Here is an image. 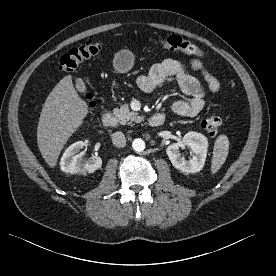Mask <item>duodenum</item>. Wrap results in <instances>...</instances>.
<instances>
[{"label": "duodenum", "instance_id": "obj_1", "mask_svg": "<svg viewBox=\"0 0 276 276\" xmlns=\"http://www.w3.org/2000/svg\"><path fill=\"white\" fill-rule=\"evenodd\" d=\"M164 115L163 114H155L151 116L148 120V124L150 127L156 128L160 127L164 123ZM102 122L106 127H115L118 123V119L116 115L111 111H105L102 115Z\"/></svg>", "mask_w": 276, "mask_h": 276}]
</instances>
